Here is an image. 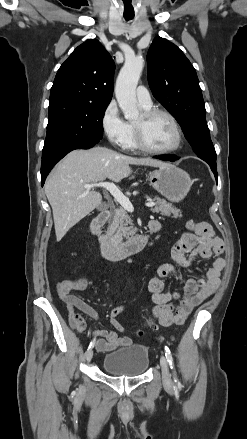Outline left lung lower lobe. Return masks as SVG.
<instances>
[{"label": "left lung lower lobe", "mask_w": 247, "mask_h": 439, "mask_svg": "<svg viewBox=\"0 0 247 439\" xmlns=\"http://www.w3.org/2000/svg\"><path fill=\"white\" fill-rule=\"evenodd\" d=\"M155 158L163 160V161H171V162L178 159V157H176L174 155H161V156H156ZM212 171L214 173L216 180L218 181L217 169L213 168Z\"/></svg>", "instance_id": "obj_1"}]
</instances>
